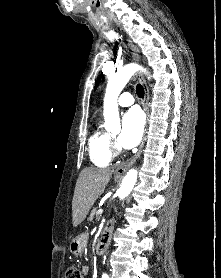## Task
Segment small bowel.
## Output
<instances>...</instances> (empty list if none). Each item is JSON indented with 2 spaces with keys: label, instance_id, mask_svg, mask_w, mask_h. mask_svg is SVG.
Masks as SVG:
<instances>
[{
  "label": "small bowel",
  "instance_id": "1",
  "mask_svg": "<svg viewBox=\"0 0 221 278\" xmlns=\"http://www.w3.org/2000/svg\"><path fill=\"white\" fill-rule=\"evenodd\" d=\"M82 273L85 277H87L89 275V267L88 266H83Z\"/></svg>",
  "mask_w": 221,
  "mask_h": 278
}]
</instances>
